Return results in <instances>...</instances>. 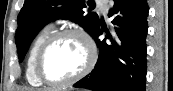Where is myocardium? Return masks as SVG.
I'll list each match as a JSON object with an SVG mask.
<instances>
[{
    "instance_id": "myocardium-1",
    "label": "myocardium",
    "mask_w": 173,
    "mask_h": 91,
    "mask_svg": "<svg viewBox=\"0 0 173 91\" xmlns=\"http://www.w3.org/2000/svg\"><path fill=\"white\" fill-rule=\"evenodd\" d=\"M76 36L80 38L86 47L87 50V56H86V63L84 67L75 75L72 77L62 80V81H51L48 78L45 77L43 70H42V63H43V58L49 49V47L58 39L64 37V36ZM97 56H98V51H97V46L94 40L91 38V36L85 32L82 29L79 28H65L62 30H58L55 32H52L42 43L40 46L36 58H35V73L37 78L43 83L46 84L47 86L50 87H65L68 86L83 77H85L87 74L91 72L93 67L96 64L97 61Z\"/></svg>"
}]
</instances>
